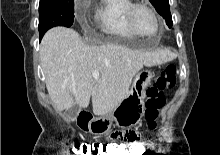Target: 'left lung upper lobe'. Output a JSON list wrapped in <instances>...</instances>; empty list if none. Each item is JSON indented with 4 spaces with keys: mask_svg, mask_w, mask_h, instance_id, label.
I'll return each instance as SVG.
<instances>
[{
    "mask_svg": "<svg viewBox=\"0 0 220 155\" xmlns=\"http://www.w3.org/2000/svg\"><path fill=\"white\" fill-rule=\"evenodd\" d=\"M156 11L166 20V24L172 27V17L168 0H150Z\"/></svg>",
    "mask_w": 220,
    "mask_h": 155,
    "instance_id": "5c2ea615",
    "label": "left lung upper lobe"
}]
</instances>
